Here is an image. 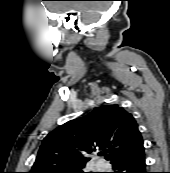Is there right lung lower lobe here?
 I'll list each match as a JSON object with an SVG mask.
<instances>
[{"label":"right lung lower lobe","instance_id":"98d812e1","mask_svg":"<svg viewBox=\"0 0 170 173\" xmlns=\"http://www.w3.org/2000/svg\"><path fill=\"white\" fill-rule=\"evenodd\" d=\"M113 173H147L143 144L111 162Z\"/></svg>","mask_w":170,"mask_h":173}]
</instances>
